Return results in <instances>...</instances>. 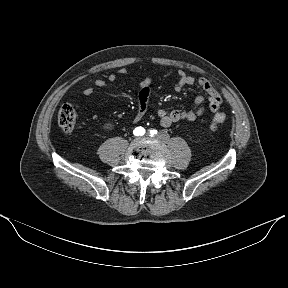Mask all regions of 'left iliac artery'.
Masks as SVG:
<instances>
[{"instance_id": "1", "label": "left iliac artery", "mask_w": 288, "mask_h": 288, "mask_svg": "<svg viewBox=\"0 0 288 288\" xmlns=\"http://www.w3.org/2000/svg\"><path fill=\"white\" fill-rule=\"evenodd\" d=\"M157 134V130L153 129V130H150V136H154Z\"/></svg>"}]
</instances>
